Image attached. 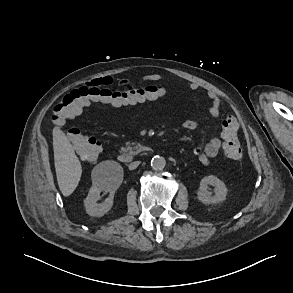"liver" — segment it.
Listing matches in <instances>:
<instances>
[{
  "mask_svg": "<svg viewBox=\"0 0 293 293\" xmlns=\"http://www.w3.org/2000/svg\"><path fill=\"white\" fill-rule=\"evenodd\" d=\"M53 150L59 189L64 196H69L80 181L82 174L81 163L70 141L60 129L53 131Z\"/></svg>",
  "mask_w": 293,
  "mask_h": 293,
  "instance_id": "liver-1",
  "label": "liver"
}]
</instances>
